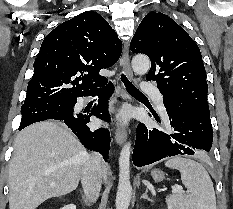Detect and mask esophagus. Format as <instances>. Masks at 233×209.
Listing matches in <instances>:
<instances>
[{"mask_svg":"<svg viewBox=\"0 0 233 209\" xmlns=\"http://www.w3.org/2000/svg\"><path fill=\"white\" fill-rule=\"evenodd\" d=\"M121 65H122V69H123L124 74L128 78L131 79L133 77V72H132V69L130 66V58H129V51H128L127 44H125V46H124V50H123V54H122V58H121ZM121 96L123 99L128 98V94L126 93L124 88H122ZM126 138H127V130L122 126H118L116 128V131H115L116 142L119 145H122L125 142Z\"/></svg>","mask_w":233,"mask_h":209,"instance_id":"esophagus-1","label":"esophagus"}]
</instances>
